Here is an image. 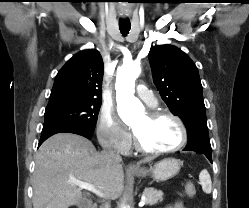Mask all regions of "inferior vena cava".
<instances>
[{"label":"inferior vena cava","instance_id":"1","mask_svg":"<svg viewBox=\"0 0 249 208\" xmlns=\"http://www.w3.org/2000/svg\"><path fill=\"white\" fill-rule=\"evenodd\" d=\"M102 155L109 163L112 162L118 163L122 161V158L119 155V153H117L111 145L105 146L103 148ZM106 208H109V206L107 205Z\"/></svg>","mask_w":249,"mask_h":208}]
</instances>
